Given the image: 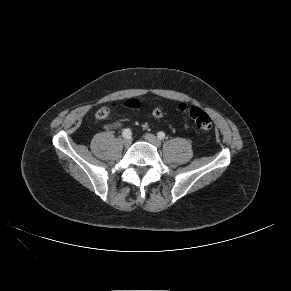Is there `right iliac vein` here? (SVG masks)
Segmentation results:
<instances>
[{"mask_svg":"<svg viewBox=\"0 0 291 291\" xmlns=\"http://www.w3.org/2000/svg\"><path fill=\"white\" fill-rule=\"evenodd\" d=\"M123 144H124L125 147L130 146V144H131V139H130V138H125V139L123 140Z\"/></svg>","mask_w":291,"mask_h":291,"instance_id":"obj_1","label":"right iliac vein"}]
</instances>
